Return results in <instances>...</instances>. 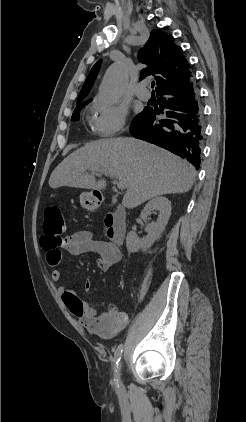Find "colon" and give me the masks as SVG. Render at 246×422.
<instances>
[{
    "mask_svg": "<svg viewBox=\"0 0 246 422\" xmlns=\"http://www.w3.org/2000/svg\"><path fill=\"white\" fill-rule=\"evenodd\" d=\"M65 229V221L58 204H52L45 210L44 231L49 235H60Z\"/></svg>",
    "mask_w": 246,
    "mask_h": 422,
    "instance_id": "colon-1",
    "label": "colon"
}]
</instances>
